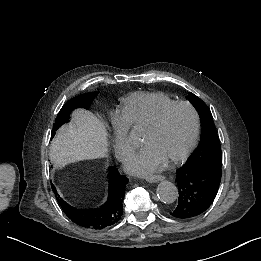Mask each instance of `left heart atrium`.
<instances>
[{
	"label": "left heart atrium",
	"instance_id": "obj_1",
	"mask_svg": "<svg viewBox=\"0 0 261 261\" xmlns=\"http://www.w3.org/2000/svg\"><path fill=\"white\" fill-rule=\"evenodd\" d=\"M162 157L148 143L136 145L125 162L126 169L139 176H149L162 169Z\"/></svg>",
	"mask_w": 261,
	"mask_h": 261
}]
</instances>
